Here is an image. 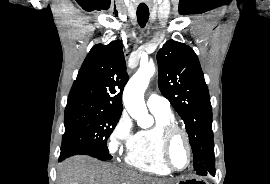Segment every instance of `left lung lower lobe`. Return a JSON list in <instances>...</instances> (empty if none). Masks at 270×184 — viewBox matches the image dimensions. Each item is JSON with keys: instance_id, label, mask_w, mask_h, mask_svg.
<instances>
[{"instance_id": "left-lung-lower-lobe-1", "label": "left lung lower lobe", "mask_w": 270, "mask_h": 184, "mask_svg": "<svg viewBox=\"0 0 270 184\" xmlns=\"http://www.w3.org/2000/svg\"><path fill=\"white\" fill-rule=\"evenodd\" d=\"M207 173H210L213 176L215 175V171L201 172L199 175H206Z\"/></svg>"}]
</instances>
